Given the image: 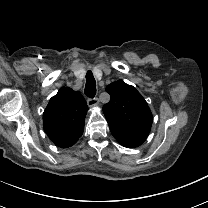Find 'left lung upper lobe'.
Returning a JSON list of instances; mask_svg holds the SVG:
<instances>
[{"mask_svg": "<svg viewBox=\"0 0 208 208\" xmlns=\"http://www.w3.org/2000/svg\"><path fill=\"white\" fill-rule=\"evenodd\" d=\"M110 101L103 106V112L109 127L132 132H150L152 113L141 94L123 80L113 82L106 87Z\"/></svg>", "mask_w": 208, "mask_h": 208, "instance_id": "1", "label": "left lung upper lobe"}]
</instances>
